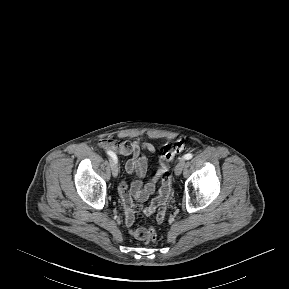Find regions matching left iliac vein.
<instances>
[{"label": "left iliac vein", "instance_id": "left-iliac-vein-1", "mask_svg": "<svg viewBox=\"0 0 289 289\" xmlns=\"http://www.w3.org/2000/svg\"><path fill=\"white\" fill-rule=\"evenodd\" d=\"M184 165H185V161L184 160H181L179 161L176 166H175V169H174V173L176 176H179L184 168Z\"/></svg>", "mask_w": 289, "mask_h": 289}]
</instances>
